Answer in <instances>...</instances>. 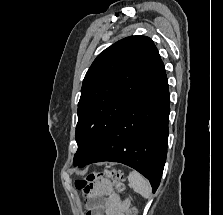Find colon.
Segmentation results:
<instances>
[{"mask_svg": "<svg viewBox=\"0 0 223 215\" xmlns=\"http://www.w3.org/2000/svg\"><path fill=\"white\" fill-rule=\"evenodd\" d=\"M100 179H111L119 191L124 189V173L116 169H104L98 172H91L76 181V187L87 193L95 182ZM126 215H137L135 207L131 206L126 210Z\"/></svg>", "mask_w": 223, "mask_h": 215, "instance_id": "colon-1", "label": "colon"}]
</instances>
